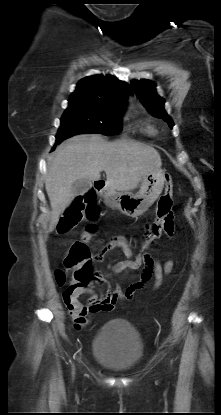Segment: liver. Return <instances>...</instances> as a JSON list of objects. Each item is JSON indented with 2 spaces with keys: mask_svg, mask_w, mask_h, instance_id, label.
Returning <instances> with one entry per match:
<instances>
[{
  "mask_svg": "<svg viewBox=\"0 0 221 415\" xmlns=\"http://www.w3.org/2000/svg\"><path fill=\"white\" fill-rule=\"evenodd\" d=\"M159 153L132 140L105 141L100 135H77L63 142L48 163L45 189L51 205L49 231L73 201L72 185L77 179L94 181L106 173V187L128 193L136 189L145 174L160 169Z\"/></svg>",
  "mask_w": 221,
  "mask_h": 415,
  "instance_id": "liver-1",
  "label": "liver"
}]
</instances>
